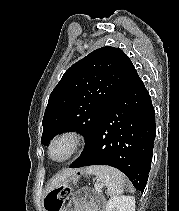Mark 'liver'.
Listing matches in <instances>:
<instances>
[{"instance_id":"liver-1","label":"liver","mask_w":179,"mask_h":211,"mask_svg":"<svg viewBox=\"0 0 179 211\" xmlns=\"http://www.w3.org/2000/svg\"><path fill=\"white\" fill-rule=\"evenodd\" d=\"M78 170H70L66 169L62 171L61 173L57 174L51 181L50 186H49V191L53 190L54 188L58 187L62 182H64L69 176L73 175L76 173Z\"/></svg>"}]
</instances>
